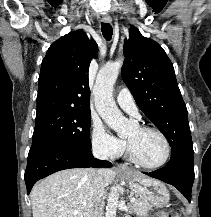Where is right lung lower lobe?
Instances as JSON below:
<instances>
[{"instance_id": "right-lung-lower-lobe-1", "label": "right lung lower lobe", "mask_w": 211, "mask_h": 217, "mask_svg": "<svg viewBox=\"0 0 211 217\" xmlns=\"http://www.w3.org/2000/svg\"><path fill=\"white\" fill-rule=\"evenodd\" d=\"M108 168L109 161L94 159L91 150L79 151L58 144H34L28 154L25 182L27 193L40 179L60 170L70 168Z\"/></svg>"}]
</instances>
